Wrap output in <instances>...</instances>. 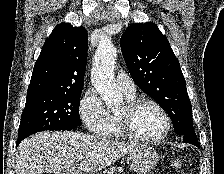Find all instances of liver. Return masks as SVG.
<instances>
[{
  "label": "liver",
  "instance_id": "6515ba94",
  "mask_svg": "<svg viewBox=\"0 0 224 174\" xmlns=\"http://www.w3.org/2000/svg\"><path fill=\"white\" fill-rule=\"evenodd\" d=\"M138 146L72 131L39 132L18 146L15 171L16 174L96 173Z\"/></svg>",
  "mask_w": 224,
  "mask_h": 174
}]
</instances>
